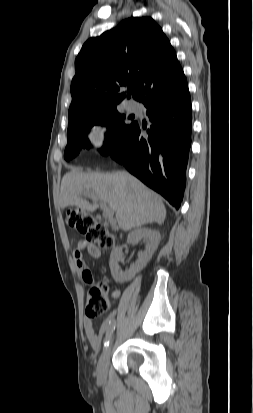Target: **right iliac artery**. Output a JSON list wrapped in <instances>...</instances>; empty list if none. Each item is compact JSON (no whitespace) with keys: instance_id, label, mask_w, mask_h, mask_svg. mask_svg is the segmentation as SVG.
Here are the masks:
<instances>
[{"instance_id":"obj_1","label":"right iliac artery","mask_w":253,"mask_h":413,"mask_svg":"<svg viewBox=\"0 0 253 413\" xmlns=\"http://www.w3.org/2000/svg\"><path fill=\"white\" fill-rule=\"evenodd\" d=\"M115 325L116 324H114L106 334V337H105V340H104V348H107L109 346L110 338H111V336L113 334V331L115 329Z\"/></svg>"}]
</instances>
